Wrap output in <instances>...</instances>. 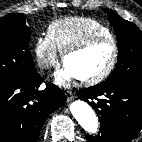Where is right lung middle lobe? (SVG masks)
<instances>
[{
  "instance_id": "1",
  "label": "right lung middle lobe",
  "mask_w": 142,
  "mask_h": 142,
  "mask_svg": "<svg viewBox=\"0 0 142 142\" xmlns=\"http://www.w3.org/2000/svg\"><path fill=\"white\" fill-rule=\"evenodd\" d=\"M30 35L23 14L11 13L0 19V84L23 81L36 73L29 52Z\"/></svg>"
}]
</instances>
